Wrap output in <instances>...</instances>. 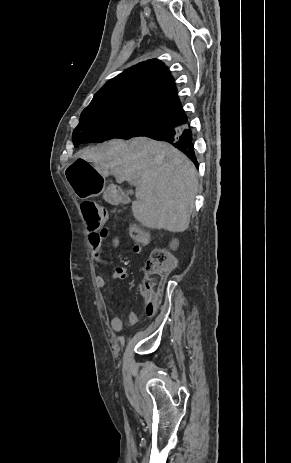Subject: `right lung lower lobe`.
<instances>
[{"instance_id": "right-lung-lower-lobe-1", "label": "right lung lower lobe", "mask_w": 291, "mask_h": 463, "mask_svg": "<svg viewBox=\"0 0 291 463\" xmlns=\"http://www.w3.org/2000/svg\"><path fill=\"white\" fill-rule=\"evenodd\" d=\"M168 126L151 132L145 137L166 141L185 153L197 167L198 162L194 151L193 134L188 124H180L177 120H166Z\"/></svg>"}]
</instances>
